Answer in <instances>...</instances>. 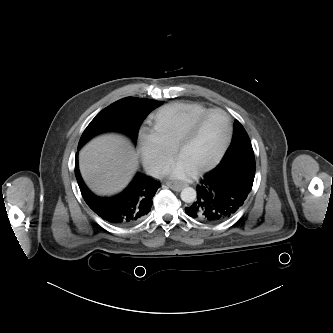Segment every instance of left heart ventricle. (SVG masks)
Instances as JSON below:
<instances>
[{
  "mask_svg": "<svg viewBox=\"0 0 333 333\" xmlns=\"http://www.w3.org/2000/svg\"><path fill=\"white\" fill-rule=\"evenodd\" d=\"M228 130L221 113H212L196 129L192 138L178 153V159L192 170L208 164L218 153Z\"/></svg>",
  "mask_w": 333,
  "mask_h": 333,
  "instance_id": "obj_1",
  "label": "left heart ventricle"
}]
</instances>
